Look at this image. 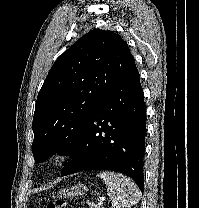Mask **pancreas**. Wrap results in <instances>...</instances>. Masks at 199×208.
<instances>
[{
  "label": "pancreas",
  "mask_w": 199,
  "mask_h": 208,
  "mask_svg": "<svg viewBox=\"0 0 199 208\" xmlns=\"http://www.w3.org/2000/svg\"><path fill=\"white\" fill-rule=\"evenodd\" d=\"M90 208H102V207L101 206H98V205H96L94 203H91L90 204Z\"/></svg>",
  "instance_id": "pancreas-1"
}]
</instances>
